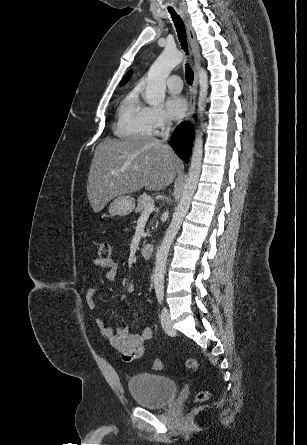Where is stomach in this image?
I'll return each instance as SVG.
<instances>
[{"label":"stomach","instance_id":"stomach-1","mask_svg":"<svg viewBox=\"0 0 307 445\" xmlns=\"http://www.w3.org/2000/svg\"><path fill=\"white\" fill-rule=\"evenodd\" d=\"M135 208V198L134 196H116L110 202L108 212L110 216H126L130 214Z\"/></svg>","mask_w":307,"mask_h":445}]
</instances>
